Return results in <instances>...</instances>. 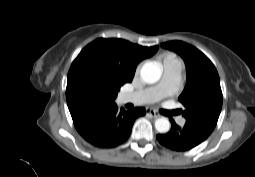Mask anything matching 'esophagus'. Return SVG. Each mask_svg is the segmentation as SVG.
I'll return each instance as SVG.
<instances>
[{
    "label": "esophagus",
    "instance_id": "1",
    "mask_svg": "<svg viewBox=\"0 0 255 177\" xmlns=\"http://www.w3.org/2000/svg\"><path fill=\"white\" fill-rule=\"evenodd\" d=\"M146 114L147 115H150V116H152V117H154V118H159L161 115L157 112V111H155L154 109H146Z\"/></svg>",
    "mask_w": 255,
    "mask_h": 177
}]
</instances>
